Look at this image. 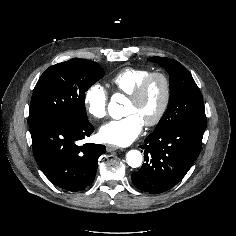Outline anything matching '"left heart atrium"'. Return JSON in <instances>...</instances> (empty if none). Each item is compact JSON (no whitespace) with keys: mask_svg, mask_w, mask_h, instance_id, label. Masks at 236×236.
I'll use <instances>...</instances> for the list:
<instances>
[{"mask_svg":"<svg viewBox=\"0 0 236 236\" xmlns=\"http://www.w3.org/2000/svg\"><path fill=\"white\" fill-rule=\"evenodd\" d=\"M143 124L137 114H130L104 124L99 129V138L105 143L127 146L140 135Z\"/></svg>","mask_w":236,"mask_h":236,"instance_id":"1","label":"left heart atrium"}]
</instances>
